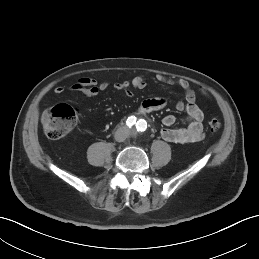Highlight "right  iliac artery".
<instances>
[{"mask_svg":"<svg viewBox=\"0 0 259 259\" xmlns=\"http://www.w3.org/2000/svg\"><path fill=\"white\" fill-rule=\"evenodd\" d=\"M127 125L129 127L133 126L136 123V117L135 116H131L127 119L126 121Z\"/></svg>","mask_w":259,"mask_h":259,"instance_id":"right-iliac-artery-1","label":"right iliac artery"}]
</instances>
